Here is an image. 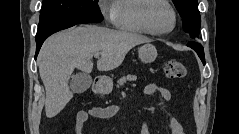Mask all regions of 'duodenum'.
Wrapping results in <instances>:
<instances>
[{"label": "duodenum", "instance_id": "obj_1", "mask_svg": "<svg viewBox=\"0 0 239 134\" xmlns=\"http://www.w3.org/2000/svg\"><path fill=\"white\" fill-rule=\"evenodd\" d=\"M103 89H104V81L101 77H97L95 79V90L97 93H101Z\"/></svg>", "mask_w": 239, "mask_h": 134}]
</instances>
